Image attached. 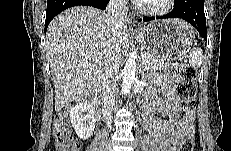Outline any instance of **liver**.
<instances>
[{
    "instance_id": "liver-1",
    "label": "liver",
    "mask_w": 231,
    "mask_h": 151,
    "mask_svg": "<svg viewBox=\"0 0 231 151\" xmlns=\"http://www.w3.org/2000/svg\"><path fill=\"white\" fill-rule=\"evenodd\" d=\"M183 29L191 27L174 19ZM127 41V26L111 32L106 12L91 6H76L57 15L46 34V54L55 88V111L94 91L102 82L105 63L114 49L121 52Z\"/></svg>"
}]
</instances>
